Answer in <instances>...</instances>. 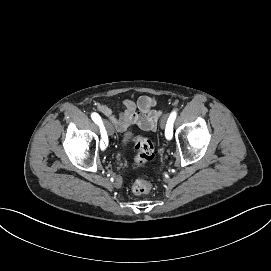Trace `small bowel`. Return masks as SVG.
I'll return each mask as SVG.
<instances>
[{
    "instance_id": "small-bowel-1",
    "label": "small bowel",
    "mask_w": 271,
    "mask_h": 271,
    "mask_svg": "<svg viewBox=\"0 0 271 271\" xmlns=\"http://www.w3.org/2000/svg\"><path fill=\"white\" fill-rule=\"evenodd\" d=\"M156 102L152 97L141 96L138 99H127L122 103V111L114 114L112 109L103 103H97V110L104 115L112 127L119 133L130 126H137L144 131H153L162 112L155 109Z\"/></svg>"
}]
</instances>
